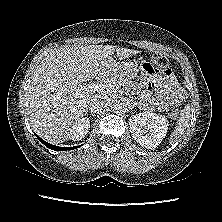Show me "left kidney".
I'll return each mask as SVG.
<instances>
[{"label":"left kidney","instance_id":"left-kidney-1","mask_svg":"<svg viewBox=\"0 0 222 222\" xmlns=\"http://www.w3.org/2000/svg\"><path fill=\"white\" fill-rule=\"evenodd\" d=\"M129 125L136 142L147 149H154L166 136L169 122L162 115L145 111L132 115Z\"/></svg>","mask_w":222,"mask_h":222}]
</instances>
